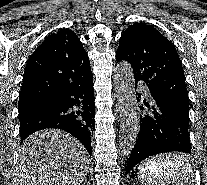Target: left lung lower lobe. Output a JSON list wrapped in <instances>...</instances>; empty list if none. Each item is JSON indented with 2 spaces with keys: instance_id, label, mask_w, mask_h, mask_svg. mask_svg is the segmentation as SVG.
<instances>
[{
  "instance_id": "left-lung-lower-lobe-1",
  "label": "left lung lower lobe",
  "mask_w": 207,
  "mask_h": 185,
  "mask_svg": "<svg viewBox=\"0 0 207 185\" xmlns=\"http://www.w3.org/2000/svg\"><path fill=\"white\" fill-rule=\"evenodd\" d=\"M138 81L135 80V87ZM150 93L149 101L144 100L145 107L140 106L144 113L140 115V131L131 151L126 173L142 160L159 153H191L189 113L157 93L151 90ZM140 97L138 94V101Z\"/></svg>"
}]
</instances>
